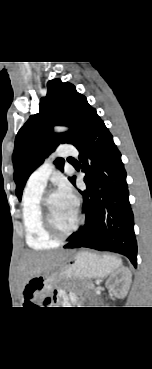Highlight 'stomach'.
<instances>
[{
	"instance_id": "1",
	"label": "stomach",
	"mask_w": 152,
	"mask_h": 369,
	"mask_svg": "<svg viewBox=\"0 0 152 369\" xmlns=\"http://www.w3.org/2000/svg\"><path fill=\"white\" fill-rule=\"evenodd\" d=\"M73 263L61 269V275L66 278L77 277L80 279L102 278L114 271L120 261L117 258L104 255L98 256L89 252L78 253L73 258ZM54 277L38 275L30 278L23 287V297L26 302L29 299L37 300L52 290Z\"/></svg>"
}]
</instances>
